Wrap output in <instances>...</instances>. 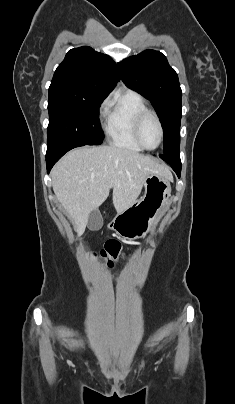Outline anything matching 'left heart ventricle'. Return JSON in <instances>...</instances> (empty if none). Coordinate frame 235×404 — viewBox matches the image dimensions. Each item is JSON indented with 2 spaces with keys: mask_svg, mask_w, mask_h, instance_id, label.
Masks as SVG:
<instances>
[{
  "mask_svg": "<svg viewBox=\"0 0 235 404\" xmlns=\"http://www.w3.org/2000/svg\"><path fill=\"white\" fill-rule=\"evenodd\" d=\"M141 139L145 146L155 147L159 142L160 132L156 120L149 116L141 126Z\"/></svg>",
  "mask_w": 235,
  "mask_h": 404,
  "instance_id": "b2bd125f",
  "label": "left heart ventricle"
}]
</instances>
